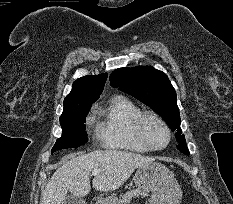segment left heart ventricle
<instances>
[{"mask_svg":"<svg viewBox=\"0 0 233 204\" xmlns=\"http://www.w3.org/2000/svg\"><path fill=\"white\" fill-rule=\"evenodd\" d=\"M144 132L153 146H163L167 142V133L163 126L154 119H148L144 125Z\"/></svg>","mask_w":233,"mask_h":204,"instance_id":"1","label":"left heart ventricle"}]
</instances>
